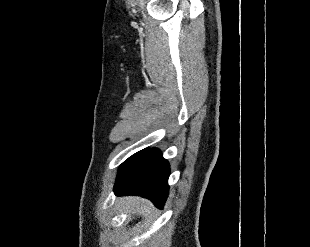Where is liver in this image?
<instances>
[{
  "instance_id": "liver-1",
  "label": "liver",
  "mask_w": 310,
  "mask_h": 247,
  "mask_svg": "<svg viewBox=\"0 0 310 247\" xmlns=\"http://www.w3.org/2000/svg\"><path fill=\"white\" fill-rule=\"evenodd\" d=\"M130 204L133 212H138L139 214L149 217L152 214L153 208L151 204L144 202L142 199L137 197L126 198Z\"/></svg>"
}]
</instances>
